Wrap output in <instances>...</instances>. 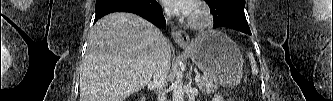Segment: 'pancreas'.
Wrapping results in <instances>:
<instances>
[{"instance_id":"1","label":"pancreas","mask_w":333,"mask_h":101,"mask_svg":"<svg viewBox=\"0 0 333 101\" xmlns=\"http://www.w3.org/2000/svg\"><path fill=\"white\" fill-rule=\"evenodd\" d=\"M217 87L216 82L209 76L203 75L201 77L200 83H199V88L204 94H210L213 91H215Z\"/></svg>"}]
</instances>
